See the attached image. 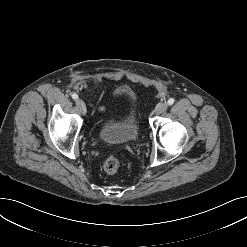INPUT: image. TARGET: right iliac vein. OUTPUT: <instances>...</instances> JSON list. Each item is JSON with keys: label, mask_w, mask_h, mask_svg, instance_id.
Segmentation results:
<instances>
[{"label": "right iliac vein", "mask_w": 247, "mask_h": 247, "mask_svg": "<svg viewBox=\"0 0 247 247\" xmlns=\"http://www.w3.org/2000/svg\"><path fill=\"white\" fill-rule=\"evenodd\" d=\"M76 105L78 106L82 114L86 113V105L81 99L76 100Z\"/></svg>", "instance_id": "right-iliac-vein-1"}]
</instances>
